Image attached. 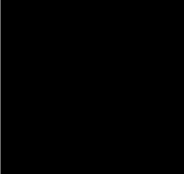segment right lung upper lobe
Returning a JSON list of instances; mask_svg holds the SVG:
<instances>
[{
    "label": "right lung upper lobe",
    "instance_id": "cb5924a9",
    "mask_svg": "<svg viewBox=\"0 0 184 174\" xmlns=\"http://www.w3.org/2000/svg\"><path fill=\"white\" fill-rule=\"evenodd\" d=\"M73 90L67 81V63L59 57L46 59L28 85L22 114L28 131L38 137L58 131L76 118Z\"/></svg>",
    "mask_w": 184,
    "mask_h": 174
}]
</instances>
